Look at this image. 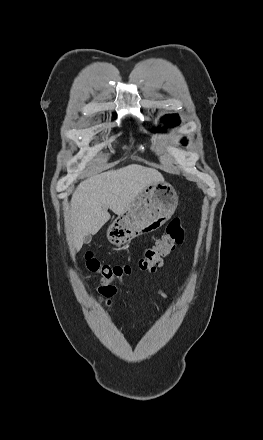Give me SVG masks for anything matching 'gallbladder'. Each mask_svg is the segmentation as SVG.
Segmentation results:
<instances>
[{
  "label": "gallbladder",
  "mask_w": 263,
  "mask_h": 440,
  "mask_svg": "<svg viewBox=\"0 0 263 440\" xmlns=\"http://www.w3.org/2000/svg\"><path fill=\"white\" fill-rule=\"evenodd\" d=\"M91 240H92V238H91L90 235H86V236L83 238V242H84L85 244H89V243L91 242Z\"/></svg>",
  "instance_id": "gallbladder-1"
}]
</instances>
